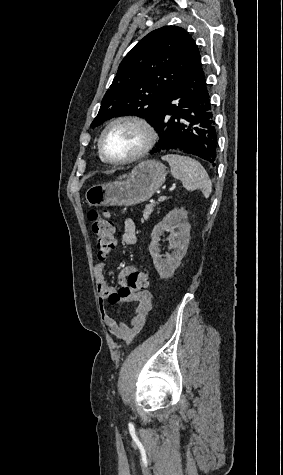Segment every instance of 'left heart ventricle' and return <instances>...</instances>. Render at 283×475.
Here are the masks:
<instances>
[{
	"mask_svg": "<svg viewBox=\"0 0 283 475\" xmlns=\"http://www.w3.org/2000/svg\"><path fill=\"white\" fill-rule=\"evenodd\" d=\"M145 130L134 123L124 122L111 128L103 139V149L110 158L135 153L145 142Z\"/></svg>",
	"mask_w": 283,
	"mask_h": 475,
	"instance_id": "1",
	"label": "left heart ventricle"
}]
</instances>
